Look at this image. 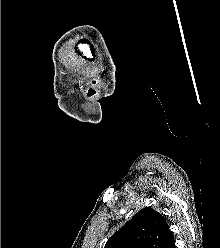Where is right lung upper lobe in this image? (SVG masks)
<instances>
[{"mask_svg":"<svg viewBox=\"0 0 220 248\" xmlns=\"http://www.w3.org/2000/svg\"><path fill=\"white\" fill-rule=\"evenodd\" d=\"M172 239L164 217L146 207L115 232L104 248H164Z\"/></svg>","mask_w":220,"mask_h":248,"instance_id":"cb5924a9","label":"right lung upper lobe"}]
</instances>
